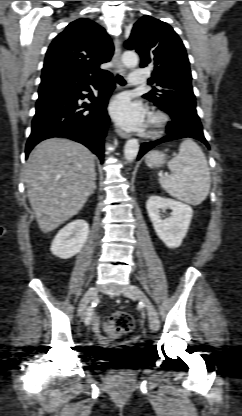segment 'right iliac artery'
<instances>
[{
  "label": "right iliac artery",
  "mask_w": 242,
  "mask_h": 416,
  "mask_svg": "<svg viewBox=\"0 0 242 416\" xmlns=\"http://www.w3.org/2000/svg\"><path fill=\"white\" fill-rule=\"evenodd\" d=\"M92 311H93L92 308H89L88 311H87V313H86V317L84 319V323L86 325H88L90 323L91 316H92V313H93Z\"/></svg>",
  "instance_id": "1"
}]
</instances>
